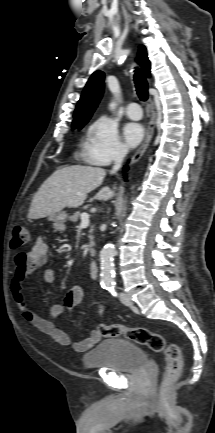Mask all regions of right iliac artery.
Returning a JSON list of instances; mask_svg holds the SVG:
<instances>
[{"instance_id": "82829eb1", "label": "right iliac artery", "mask_w": 215, "mask_h": 433, "mask_svg": "<svg viewBox=\"0 0 215 433\" xmlns=\"http://www.w3.org/2000/svg\"><path fill=\"white\" fill-rule=\"evenodd\" d=\"M104 288H105V289H108V290L110 289V287H109V286H107V287H104Z\"/></svg>"}]
</instances>
